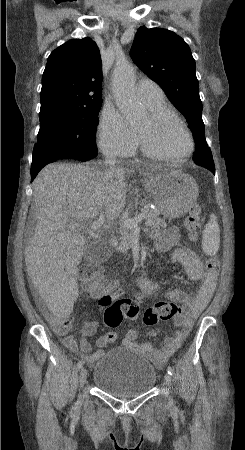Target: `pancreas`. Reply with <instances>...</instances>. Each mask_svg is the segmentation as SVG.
<instances>
[{
    "label": "pancreas",
    "instance_id": "pancreas-1",
    "mask_svg": "<svg viewBox=\"0 0 245 450\" xmlns=\"http://www.w3.org/2000/svg\"><path fill=\"white\" fill-rule=\"evenodd\" d=\"M141 212L146 215V226H149L151 228H165L167 226L164 219H161L159 217L160 213L159 211L152 210L148 206H144L141 209ZM119 233L121 235L120 242L118 244L117 250L123 253H127V251L130 248L131 239H132V233L130 232V229L122 227L119 230Z\"/></svg>",
    "mask_w": 245,
    "mask_h": 450
}]
</instances>
